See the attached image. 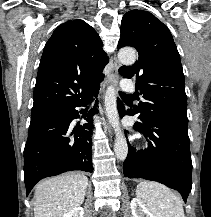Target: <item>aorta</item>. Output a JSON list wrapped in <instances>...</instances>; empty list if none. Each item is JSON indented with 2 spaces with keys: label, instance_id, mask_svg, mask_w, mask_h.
<instances>
[{
  "label": "aorta",
  "instance_id": "1",
  "mask_svg": "<svg viewBox=\"0 0 211 217\" xmlns=\"http://www.w3.org/2000/svg\"><path fill=\"white\" fill-rule=\"evenodd\" d=\"M118 59L121 63L131 65L136 61V52L134 49L125 48L118 52ZM105 111L108 120L114 128L116 139L114 144V152L119 160H125L128 153V146L123 133L119 126V115L116 103V90L113 85L109 86L105 93Z\"/></svg>",
  "mask_w": 211,
  "mask_h": 217
}]
</instances>
